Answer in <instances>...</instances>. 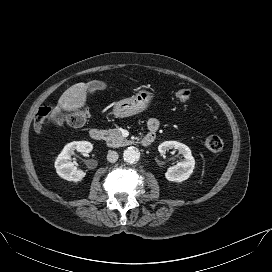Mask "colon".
<instances>
[{
    "label": "colon",
    "mask_w": 272,
    "mask_h": 272,
    "mask_svg": "<svg viewBox=\"0 0 272 272\" xmlns=\"http://www.w3.org/2000/svg\"><path fill=\"white\" fill-rule=\"evenodd\" d=\"M175 97L179 102H189L192 99V91L186 88L180 89L175 93ZM88 115V108L85 106L73 109L61 107L58 108L55 115L50 107H41L35 118L34 127L37 132H41L52 118L58 125L77 127L85 123ZM205 145L212 152H220L223 149V141L217 135H209L205 140Z\"/></svg>",
    "instance_id": "5ec220e1"
}]
</instances>
